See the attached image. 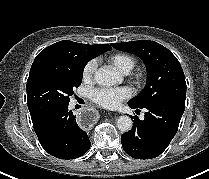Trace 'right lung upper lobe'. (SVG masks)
I'll return each mask as SVG.
<instances>
[{
	"label": "right lung upper lobe",
	"instance_id": "1",
	"mask_svg": "<svg viewBox=\"0 0 209 179\" xmlns=\"http://www.w3.org/2000/svg\"><path fill=\"white\" fill-rule=\"evenodd\" d=\"M111 50L107 44L88 45L63 40L42 50L35 58L31 70L38 66H65L81 60H91Z\"/></svg>",
	"mask_w": 209,
	"mask_h": 179
}]
</instances>
